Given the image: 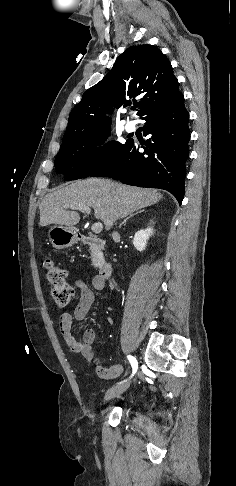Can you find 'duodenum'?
Segmentation results:
<instances>
[{
    "label": "duodenum",
    "mask_w": 236,
    "mask_h": 486,
    "mask_svg": "<svg viewBox=\"0 0 236 486\" xmlns=\"http://www.w3.org/2000/svg\"><path fill=\"white\" fill-rule=\"evenodd\" d=\"M78 240L80 243L91 246L94 250L100 251L104 246V241L100 238L85 235V234H78ZM112 275V266L108 262H102L99 268V275L98 278L105 282L110 279Z\"/></svg>",
    "instance_id": "410a0bca"
}]
</instances>
